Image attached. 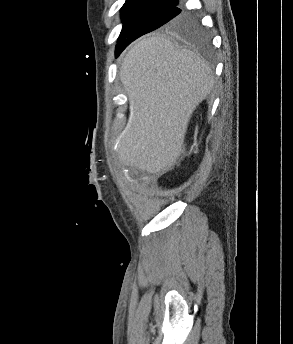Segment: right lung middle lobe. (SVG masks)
<instances>
[{
    "label": "right lung middle lobe",
    "instance_id": "1",
    "mask_svg": "<svg viewBox=\"0 0 293 344\" xmlns=\"http://www.w3.org/2000/svg\"><path fill=\"white\" fill-rule=\"evenodd\" d=\"M175 5L161 3H129L121 9L123 28L116 48V55L133 40L161 26L177 33L183 39L199 46H206L208 38L195 19L181 13Z\"/></svg>",
    "mask_w": 293,
    "mask_h": 344
}]
</instances>
